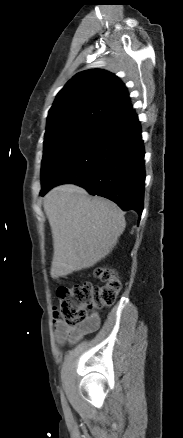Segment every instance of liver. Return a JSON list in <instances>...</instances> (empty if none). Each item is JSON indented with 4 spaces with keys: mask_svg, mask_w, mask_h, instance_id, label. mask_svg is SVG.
<instances>
[{
    "mask_svg": "<svg viewBox=\"0 0 183 438\" xmlns=\"http://www.w3.org/2000/svg\"><path fill=\"white\" fill-rule=\"evenodd\" d=\"M43 207L53 237V278L94 266L112 251L126 226L116 204L73 184L48 192Z\"/></svg>",
    "mask_w": 183,
    "mask_h": 438,
    "instance_id": "1",
    "label": "liver"
}]
</instances>
